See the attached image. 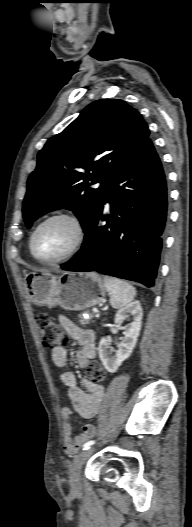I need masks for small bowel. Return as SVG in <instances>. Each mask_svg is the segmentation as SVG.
<instances>
[{
	"label": "small bowel",
	"instance_id": "1",
	"mask_svg": "<svg viewBox=\"0 0 192 527\" xmlns=\"http://www.w3.org/2000/svg\"><path fill=\"white\" fill-rule=\"evenodd\" d=\"M59 323L74 339L81 349L76 353V362L83 368L96 356L95 334L90 329H84L75 324L66 316L59 317ZM52 361L58 367H64L67 363V351L63 347L52 350ZM61 382L67 387V397L71 408L62 409L64 450L68 453L75 452L85 441L94 434V427L87 424L83 427V434L72 438V415L76 413L84 419L95 417L105 395V387L83 379L84 389L78 386L77 378L73 372L66 371L60 375Z\"/></svg>",
	"mask_w": 192,
	"mask_h": 527
}]
</instances>
